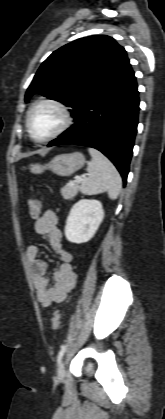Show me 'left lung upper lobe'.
<instances>
[{"mask_svg":"<svg viewBox=\"0 0 165 419\" xmlns=\"http://www.w3.org/2000/svg\"><path fill=\"white\" fill-rule=\"evenodd\" d=\"M129 64L125 49L105 35L77 39L54 51L40 66L25 95L34 93L72 107L82 104Z\"/></svg>","mask_w":165,"mask_h":419,"instance_id":"1","label":"left lung upper lobe"}]
</instances>
